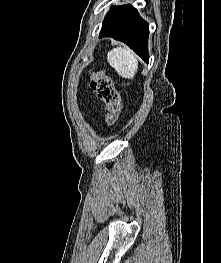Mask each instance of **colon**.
Returning <instances> with one entry per match:
<instances>
[{"instance_id":"obj_1","label":"colon","mask_w":221,"mask_h":263,"mask_svg":"<svg viewBox=\"0 0 221 263\" xmlns=\"http://www.w3.org/2000/svg\"><path fill=\"white\" fill-rule=\"evenodd\" d=\"M90 87L106 106V123L113 125L121 113L122 104L120 94L112 80L102 69H96L91 72Z\"/></svg>"}]
</instances>
